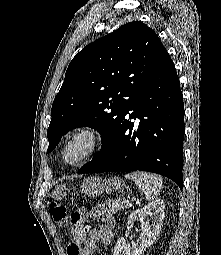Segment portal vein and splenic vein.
Wrapping results in <instances>:
<instances>
[{
	"mask_svg": "<svg viewBox=\"0 0 221 255\" xmlns=\"http://www.w3.org/2000/svg\"><path fill=\"white\" fill-rule=\"evenodd\" d=\"M125 203L130 204V202L128 200H125Z\"/></svg>",
	"mask_w": 221,
	"mask_h": 255,
	"instance_id": "portal-vein-and-splenic-vein-1",
	"label": "portal vein and splenic vein"
}]
</instances>
